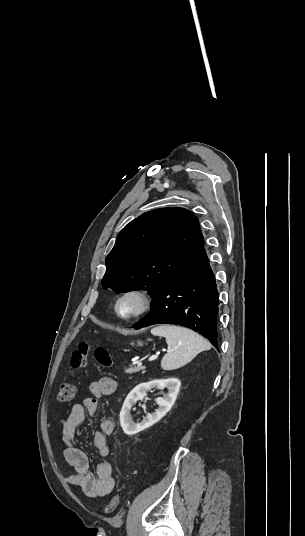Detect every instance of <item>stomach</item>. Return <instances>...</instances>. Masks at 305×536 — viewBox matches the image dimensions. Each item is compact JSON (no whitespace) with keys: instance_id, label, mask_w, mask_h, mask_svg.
Here are the masks:
<instances>
[{"instance_id":"stomach-1","label":"stomach","mask_w":305,"mask_h":536,"mask_svg":"<svg viewBox=\"0 0 305 536\" xmlns=\"http://www.w3.org/2000/svg\"><path fill=\"white\" fill-rule=\"evenodd\" d=\"M138 346H143V342H137Z\"/></svg>"}]
</instances>
